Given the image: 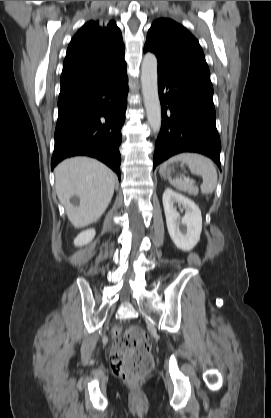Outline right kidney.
I'll use <instances>...</instances> for the list:
<instances>
[{"label":"right kidney","instance_id":"right-kidney-1","mask_svg":"<svg viewBox=\"0 0 271 418\" xmlns=\"http://www.w3.org/2000/svg\"><path fill=\"white\" fill-rule=\"evenodd\" d=\"M95 229H87L81 232L75 239L74 245L75 246H83L90 243L95 237Z\"/></svg>","mask_w":271,"mask_h":418}]
</instances>
